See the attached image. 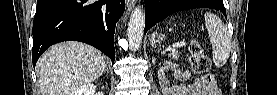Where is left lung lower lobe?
Listing matches in <instances>:
<instances>
[{
    "label": "left lung lower lobe",
    "instance_id": "obj_1",
    "mask_svg": "<svg viewBox=\"0 0 277 95\" xmlns=\"http://www.w3.org/2000/svg\"><path fill=\"white\" fill-rule=\"evenodd\" d=\"M179 1L180 0H145V33L170 14L181 10L193 9L180 6ZM197 3L199 6L195 8H212L226 15L222 0H197Z\"/></svg>",
    "mask_w": 277,
    "mask_h": 95
}]
</instances>
